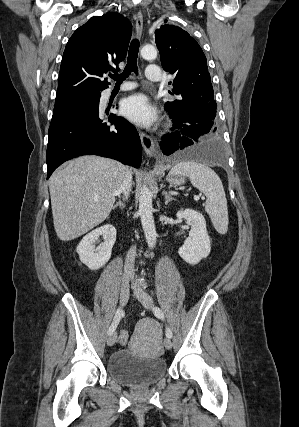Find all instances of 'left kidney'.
<instances>
[{
    "mask_svg": "<svg viewBox=\"0 0 299 427\" xmlns=\"http://www.w3.org/2000/svg\"><path fill=\"white\" fill-rule=\"evenodd\" d=\"M176 216L178 219H185L191 225L190 237L185 240L178 253L185 262L196 265L211 251L205 218L193 209L180 210Z\"/></svg>",
    "mask_w": 299,
    "mask_h": 427,
    "instance_id": "obj_1",
    "label": "left kidney"
}]
</instances>
